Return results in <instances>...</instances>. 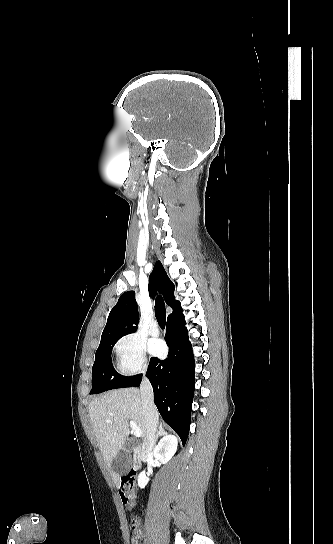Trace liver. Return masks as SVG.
Wrapping results in <instances>:
<instances>
[{
    "label": "liver",
    "instance_id": "obj_1",
    "mask_svg": "<svg viewBox=\"0 0 333 544\" xmlns=\"http://www.w3.org/2000/svg\"><path fill=\"white\" fill-rule=\"evenodd\" d=\"M89 415L94 436L103 458L111 467L129 436V420H133L142 430V438L147 435L141 392L137 388L111 390L90 402ZM117 486L120 473L112 471Z\"/></svg>",
    "mask_w": 333,
    "mask_h": 544
}]
</instances>
